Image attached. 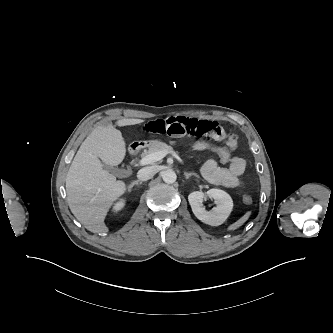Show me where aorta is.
<instances>
[{"mask_svg":"<svg viewBox=\"0 0 333 333\" xmlns=\"http://www.w3.org/2000/svg\"><path fill=\"white\" fill-rule=\"evenodd\" d=\"M163 181L165 183H174L177 179L176 173L173 170H167L162 175Z\"/></svg>","mask_w":333,"mask_h":333,"instance_id":"aorta-1","label":"aorta"}]
</instances>
